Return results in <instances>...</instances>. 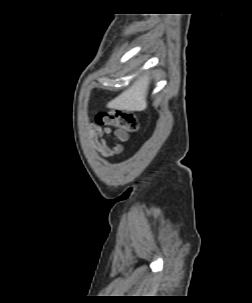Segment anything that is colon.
<instances>
[{
    "label": "colon",
    "instance_id": "colon-1",
    "mask_svg": "<svg viewBox=\"0 0 252 303\" xmlns=\"http://www.w3.org/2000/svg\"><path fill=\"white\" fill-rule=\"evenodd\" d=\"M94 121L100 126H112L129 133L138 130V121L135 114L128 110H109L98 112Z\"/></svg>",
    "mask_w": 252,
    "mask_h": 303
}]
</instances>
